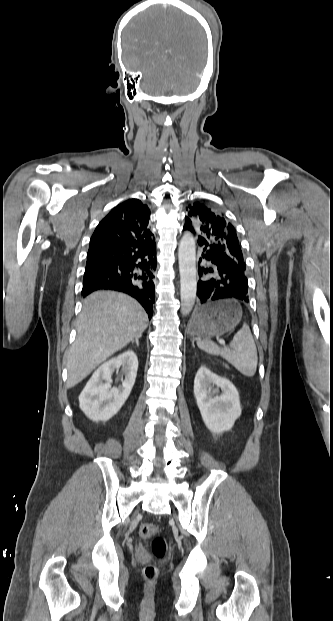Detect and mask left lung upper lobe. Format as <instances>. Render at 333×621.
<instances>
[{"label":"left lung upper lobe","instance_id":"obj_1","mask_svg":"<svg viewBox=\"0 0 333 621\" xmlns=\"http://www.w3.org/2000/svg\"><path fill=\"white\" fill-rule=\"evenodd\" d=\"M184 227L197 231L198 238L207 240L235 260L240 267L246 268L236 230L219 210L202 203H194L189 206Z\"/></svg>","mask_w":333,"mask_h":621}]
</instances>
